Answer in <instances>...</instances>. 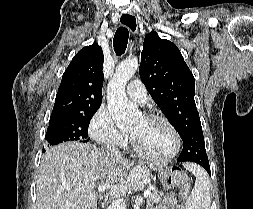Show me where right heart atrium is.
Returning <instances> with one entry per match:
<instances>
[{
	"mask_svg": "<svg viewBox=\"0 0 253 209\" xmlns=\"http://www.w3.org/2000/svg\"><path fill=\"white\" fill-rule=\"evenodd\" d=\"M89 133L100 145L125 146L128 142L127 134L116 126L110 113L104 107L99 108L93 115Z\"/></svg>",
	"mask_w": 253,
	"mask_h": 209,
	"instance_id": "1",
	"label": "right heart atrium"
}]
</instances>
